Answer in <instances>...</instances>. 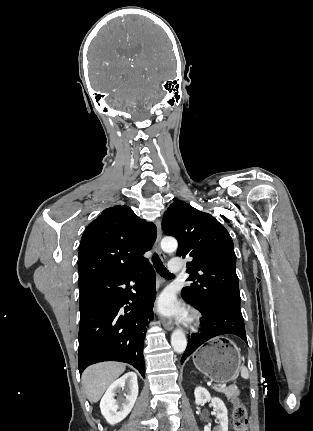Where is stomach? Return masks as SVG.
<instances>
[{
	"label": "stomach",
	"instance_id": "1",
	"mask_svg": "<svg viewBox=\"0 0 313 431\" xmlns=\"http://www.w3.org/2000/svg\"><path fill=\"white\" fill-rule=\"evenodd\" d=\"M241 359L240 350L225 337L210 340L193 355L195 367L218 384L229 382L237 375Z\"/></svg>",
	"mask_w": 313,
	"mask_h": 431
}]
</instances>
